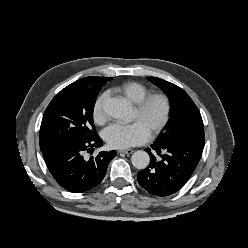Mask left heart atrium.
Instances as JSON below:
<instances>
[{"instance_id": "39dd6f15", "label": "left heart atrium", "mask_w": 248, "mask_h": 248, "mask_svg": "<svg viewBox=\"0 0 248 248\" xmlns=\"http://www.w3.org/2000/svg\"><path fill=\"white\" fill-rule=\"evenodd\" d=\"M103 137L110 147L127 149L144 143L149 137V131L140 120H136L130 124H112L105 129Z\"/></svg>"}]
</instances>
